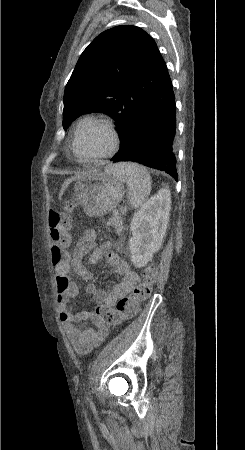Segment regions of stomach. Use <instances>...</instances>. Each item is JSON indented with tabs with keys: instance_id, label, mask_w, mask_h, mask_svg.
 Returning a JSON list of instances; mask_svg holds the SVG:
<instances>
[{
	"instance_id": "obj_1",
	"label": "stomach",
	"mask_w": 245,
	"mask_h": 450,
	"mask_svg": "<svg viewBox=\"0 0 245 450\" xmlns=\"http://www.w3.org/2000/svg\"><path fill=\"white\" fill-rule=\"evenodd\" d=\"M113 169L108 166L104 172L94 171L77 179L74 185L75 198L89 217L103 216L122 201L124 181Z\"/></svg>"
}]
</instances>
